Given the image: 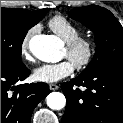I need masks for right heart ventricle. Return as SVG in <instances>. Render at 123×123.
I'll return each mask as SVG.
<instances>
[{
    "instance_id": "obj_1",
    "label": "right heart ventricle",
    "mask_w": 123,
    "mask_h": 123,
    "mask_svg": "<svg viewBox=\"0 0 123 123\" xmlns=\"http://www.w3.org/2000/svg\"><path fill=\"white\" fill-rule=\"evenodd\" d=\"M48 26L65 42L80 35V28L61 15L54 16L50 19Z\"/></svg>"
}]
</instances>
